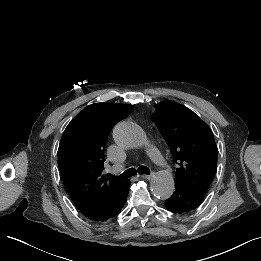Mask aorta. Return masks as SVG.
<instances>
[{
	"mask_svg": "<svg viewBox=\"0 0 261 261\" xmlns=\"http://www.w3.org/2000/svg\"><path fill=\"white\" fill-rule=\"evenodd\" d=\"M113 138L123 148H138L147 142L142 128L132 122H120L113 130ZM174 178L171 172L161 170L155 173L151 181V191L158 199H168L174 192Z\"/></svg>",
	"mask_w": 261,
	"mask_h": 261,
	"instance_id": "obj_1",
	"label": "aorta"
}]
</instances>
